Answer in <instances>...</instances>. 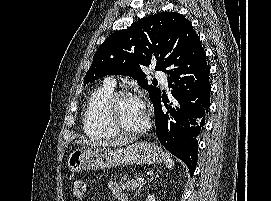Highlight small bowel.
<instances>
[{
  "label": "small bowel",
  "instance_id": "small-bowel-1",
  "mask_svg": "<svg viewBox=\"0 0 271 201\" xmlns=\"http://www.w3.org/2000/svg\"><path fill=\"white\" fill-rule=\"evenodd\" d=\"M110 191L113 195H115L117 198L119 195L124 194L123 189L119 185L117 181H112L109 184Z\"/></svg>",
  "mask_w": 271,
  "mask_h": 201
}]
</instances>
